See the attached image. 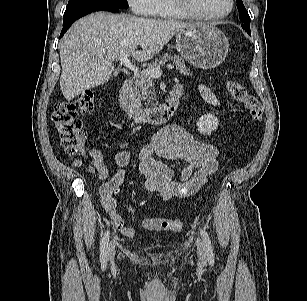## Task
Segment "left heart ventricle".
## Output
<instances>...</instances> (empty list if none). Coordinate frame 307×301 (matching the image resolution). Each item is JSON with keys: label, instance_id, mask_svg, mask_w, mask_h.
<instances>
[{"label": "left heart ventricle", "instance_id": "1", "mask_svg": "<svg viewBox=\"0 0 307 301\" xmlns=\"http://www.w3.org/2000/svg\"><path fill=\"white\" fill-rule=\"evenodd\" d=\"M190 4L199 13L218 15L229 9L230 0H190Z\"/></svg>", "mask_w": 307, "mask_h": 301}]
</instances>
